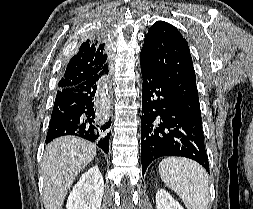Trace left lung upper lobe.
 Segmentation results:
<instances>
[{"label": "left lung upper lobe", "instance_id": "5c2ea615", "mask_svg": "<svg viewBox=\"0 0 253 209\" xmlns=\"http://www.w3.org/2000/svg\"><path fill=\"white\" fill-rule=\"evenodd\" d=\"M140 64L160 77L183 111L202 125L190 50L177 28L164 21L154 23L145 36Z\"/></svg>", "mask_w": 253, "mask_h": 209}]
</instances>
